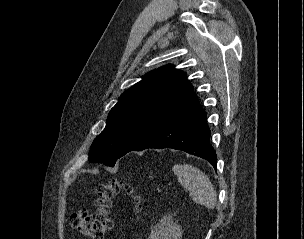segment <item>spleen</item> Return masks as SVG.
<instances>
[{
    "label": "spleen",
    "instance_id": "spleen-1",
    "mask_svg": "<svg viewBox=\"0 0 304 239\" xmlns=\"http://www.w3.org/2000/svg\"><path fill=\"white\" fill-rule=\"evenodd\" d=\"M172 170L177 175L180 184L189 190L195 203L207 209L215 208L216 192L209 178L202 171L190 164H177Z\"/></svg>",
    "mask_w": 304,
    "mask_h": 239
}]
</instances>
